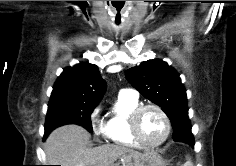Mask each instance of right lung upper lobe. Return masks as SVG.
<instances>
[{"instance_id": "right-lung-upper-lobe-1", "label": "right lung upper lobe", "mask_w": 236, "mask_h": 166, "mask_svg": "<svg viewBox=\"0 0 236 166\" xmlns=\"http://www.w3.org/2000/svg\"><path fill=\"white\" fill-rule=\"evenodd\" d=\"M105 89L98 67L80 63L64 69L54 84L50 101L66 99L98 104Z\"/></svg>"}]
</instances>
